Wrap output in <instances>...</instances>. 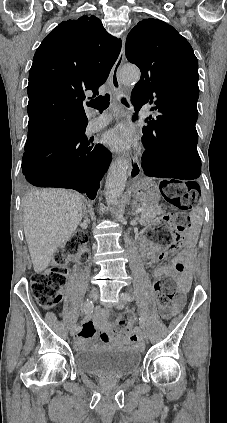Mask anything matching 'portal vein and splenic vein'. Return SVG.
<instances>
[{"label": "portal vein and splenic vein", "instance_id": "18ae733b", "mask_svg": "<svg viewBox=\"0 0 227 423\" xmlns=\"http://www.w3.org/2000/svg\"><path fill=\"white\" fill-rule=\"evenodd\" d=\"M138 211H144V208H139V210H138ZM138 211H135L136 216H139Z\"/></svg>", "mask_w": 227, "mask_h": 423}]
</instances>
